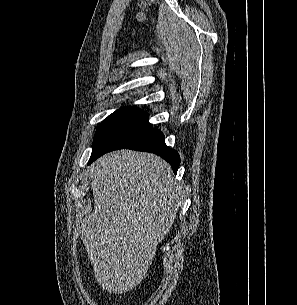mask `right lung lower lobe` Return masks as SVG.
Masks as SVG:
<instances>
[{
    "mask_svg": "<svg viewBox=\"0 0 297 305\" xmlns=\"http://www.w3.org/2000/svg\"><path fill=\"white\" fill-rule=\"evenodd\" d=\"M132 149V150H138V151H146L151 152L154 154H157L161 156L163 159H165L173 168L174 173H177L178 167L180 165V156L176 152V150H173L166 146L165 144V137L161 130L158 129H152L148 133H146L144 136L139 138L138 140L125 145V146H119V147H112L107 149H102L99 151H96L92 153L90 160L88 164L95 161L97 158L102 156L103 154L116 150V149Z\"/></svg>",
    "mask_w": 297,
    "mask_h": 305,
    "instance_id": "98d812e1",
    "label": "right lung lower lobe"
}]
</instances>
